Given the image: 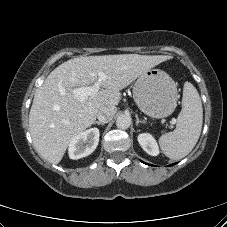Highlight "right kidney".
<instances>
[{"label":"right kidney","mask_w":227,"mask_h":227,"mask_svg":"<svg viewBox=\"0 0 227 227\" xmlns=\"http://www.w3.org/2000/svg\"><path fill=\"white\" fill-rule=\"evenodd\" d=\"M99 129L91 128L80 132L69 144V157L71 159H80L90 155L99 143Z\"/></svg>","instance_id":"ca27d5eb"}]
</instances>
